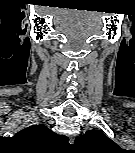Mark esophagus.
<instances>
[{
  "label": "esophagus",
  "mask_w": 135,
  "mask_h": 153,
  "mask_svg": "<svg viewBox=\"0 0 135 153\" xmlns=\"http://www.w3.org/2000/svg\"><path fill=\"white\" fill-rule=\"evenodd\" d=\"M69 142L70 143H73L74 142V139L73 138H70Z\"/></svg>",
  "instance_id": "34e87169"
}]
</instances>
